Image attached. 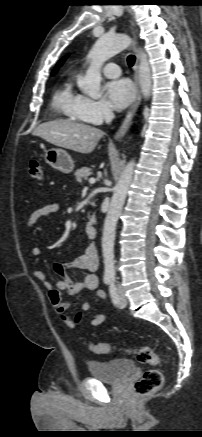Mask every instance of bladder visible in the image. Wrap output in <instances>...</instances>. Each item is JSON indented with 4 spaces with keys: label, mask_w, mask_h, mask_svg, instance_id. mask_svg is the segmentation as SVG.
<instances>
[{
    "label": "bladder",
    "mask_w": 202,
    "mask_h": 437,
    "mask_svg": "<svg viewBox=\"0 0 202 437\" xmlns=\"http://www.w3.org/2000/svg\"><path fill=\"white\" fill-rule=\"evenodd\" d=\"M135 370L136 364L127 358L88 362V371L91 377L107 383H118L134 373Z\"/></svg>",
    "instance_id": "1"
}]
</instances>
